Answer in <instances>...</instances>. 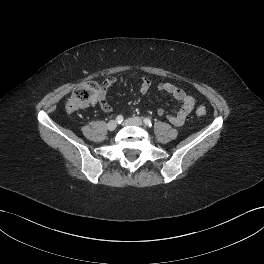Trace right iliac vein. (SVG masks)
I'll return each instance as SVG.
<instances>
[{
  "instance_id": "right-iliac-vein-1",
  "label": "right iliac vein",
  "mask_w": 264,
  "mask_h": 264,
  "mask_svg": "<svg viewBox=\"0 0 264 264\" xmlns=\"http://www.w3.org/2000/svg\"><path fill=\"white\" fill-rule=\"evenodd\" d=\"M117 126H118V123H117V121H115V120H111V121H109L108 124H107V128H108V130H110V131L115 130V129L117 128Z\"/></svg>"
}]
</instances>
